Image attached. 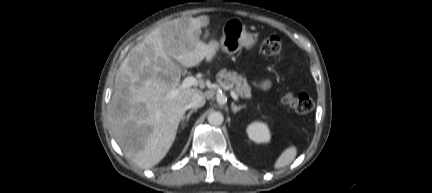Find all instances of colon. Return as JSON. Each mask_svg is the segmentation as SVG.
<instances>
[{"label":"colon","instance_id":"colon-1","mask_svg":"<svg viewBox=\"0 0 432 193\" xmlns=\"http://www.w3.org/2000/svg\"><path fill=\"white\" fill-rule=\"evenodd\" d=\"M261 51L268 57L281 56L283 53L281 39L277 36L269 37L263 42ZM281 102L300 114H306L314 108V101L305 93L296 95L290 91L284 92L281 94Z\"/></svg>","mask_w":432,"mask_h":193}]
</instances>
